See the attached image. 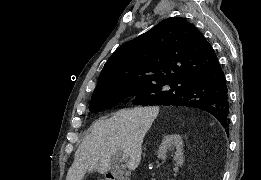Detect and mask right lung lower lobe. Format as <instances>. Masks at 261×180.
<instances>
[{
    "label": "right lung lower lobe",
    "mask_w": 261,
    "mask_h": 180,
    "mask_svg": "<svg viewBox=\"0 0 261 180\" xmlns=\"http://www.w3.org/2000/svg\"><path fill=\"white\" fill-rule=\"evenodd\" d=\"M162 105L188 106L207 111L217 118L228 134L229 97L226 79L219 63L195 72L187 80L184 91Z\"/></svg>",
    "instance_id": "obj_1"
}]
</instances>
